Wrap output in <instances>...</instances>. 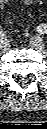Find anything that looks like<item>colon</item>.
Listing matches in <instances>:
<instances>
[{
    "instance_id": "1",
    "label": "colon",
    "mask_w": 47,
    "mask_h": 129,
    "mask_svg": "<svg viewBox=\"0 0 47 129\" xmlns=\"http://www.w3.org/2000/svg\"><path fill=\"white\" fill-rule=\"evenodd\" d=\"M26 4H36L39 3L40 0H23Z\"/></svg>"
}]
</instances>
